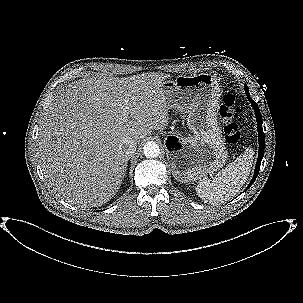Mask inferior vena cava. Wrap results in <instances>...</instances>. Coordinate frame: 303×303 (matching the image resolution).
<instances>
[{
    "instance_id": "1",
    "label": "inferior vena cava",
    "mask_w": 303,
    "mask_h": 303,
    "mask_svg": "<svg viewBox=\"0 0 303 303\" xmlns=\"http://www.w3.org/2000/svg\"><path fill=\"white\" fill-rule=\"evenodd\" d=\"M120 145L127 158L130 157L136 151V142L130 137L124 138L121 141Z\"/></svg>"
}]
</instances>
